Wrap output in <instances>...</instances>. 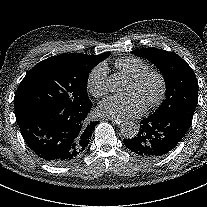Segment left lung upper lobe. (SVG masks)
Wrapping results in <instances>:
<instances>
[{"instance_id":"1","label":"left lung upper lobe","mask_w":207,"mask_h":207,"mask_svg":"<svg viewBox=\"0 0 207 207\" xmlns=\"http://www.w3.org/2000/svg\"><path fill=\"white\" fill-rule=\"evenodd\" d=\"M131 53L151 61L164 77L166 99L153 114H177L192 121L198 100V81L188 63L177 54L161 49L142 48Z\"/></svg>"}]
</instances>
